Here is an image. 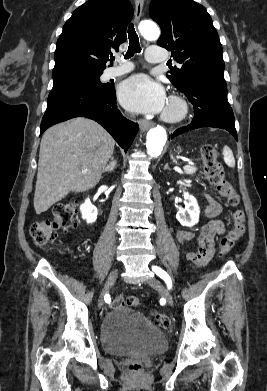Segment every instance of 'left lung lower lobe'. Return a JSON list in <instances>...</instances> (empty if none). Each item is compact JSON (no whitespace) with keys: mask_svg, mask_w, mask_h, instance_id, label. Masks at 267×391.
<instances>
[{"mask_svg":"<svg viewBox=\"0 0 267 391\" xmlns=\"http://www.w3.org/2000/svg\"><path fill=\"white\" fill-rule=\"evenodd\" d=\"M194 107L191 124L176 130L171 139L188 130L201 127L221 128L230 132L237 140L234 115L227 100L226 82L202 78L189 82L180 89Z\"/></svg>","mask_w":267,"mask_h":391,"instance_id":"obj_1","label":"left lung lower lobe"}]
</instances>
